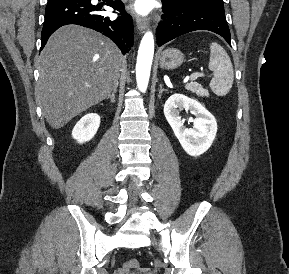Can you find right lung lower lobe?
<instances>
[{
  "label": "right lung lower lobe",
  "mask_w": 289,
  "mask_h": 274,
  "mask_svg": "<svg viewBox=\"0 0 289 274\" xmlns=\"http://www.w3.org/2000/svg\"><path fill=\"white\" fill-rule=\"evenodd\" d=\"M106 1V0H105ZM106 5L123 14L116 20L101 12L102 5H95L91 0H58L48 2L45 10V22L41 33V50L50 35L59 27L77 24L94 29L109 37L125 55L133 44L132 17L124 10L121 0H107Z\"/></svg>",
  "instance_id": "98d812e1"
}]
</instances>
